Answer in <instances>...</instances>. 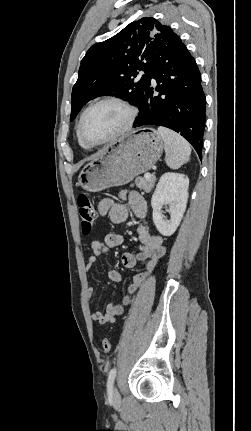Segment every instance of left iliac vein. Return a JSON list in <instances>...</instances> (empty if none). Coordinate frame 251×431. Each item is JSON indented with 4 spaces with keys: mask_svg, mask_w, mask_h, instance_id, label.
Instances as JSON below:
<instances>
[{
    "mask_svg": "<svg viewBox=\"0 0 251 431\" xmlns=\"http://www.w3.org/2000/svg\"><path fill=\"white\" fill-rule=\"evenodd\" d=\"M113 399H114V401L120 400V394H119L117 388H114V390H113Z\"/></svg>",
    "mask_w": 251,
    "mask_h": 431,
    "instance_id": "4c4485c4",
    "label": "left iliac vein"
}]
</instances>
